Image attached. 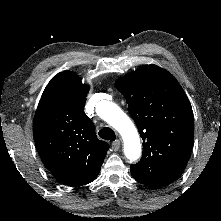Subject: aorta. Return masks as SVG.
Listing matches in <instances>:
<instances>
[{"mask_svg": "<svg viewBox=\"0 0 221 221\" xmlns=\"http://www.w3.org/2000/svg\"><path fill=\"white\" fill-rule=\"evenodd\" d=\"M96 110L102 119L121 134L126 157L131 161L137 160L141 155V144L130 118L115 103L108 101L100 102Z\"/></svg>", "mask_w": 221, "mask_h": 221, "instance_id": "obj_1", "label": "aorta"}]
</instances>
